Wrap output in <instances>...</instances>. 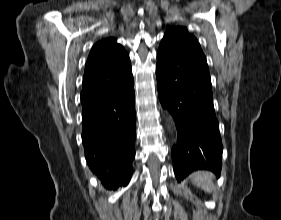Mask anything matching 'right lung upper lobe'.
Listing matches in <instances>:
<instances>
[{
    "mask_svg": "<svg viewBox=\"0 0 281 220\" xmlns=\"http://www.w3.org/2000/svg\"><path fill=\"white\" fill-rule=\"evenodd\" d=\"M132 78L126 50L114 38L102 39L88 56L81 97L117 89Z\"/></svg>",
    "mask_w": 281,
    "mask_h": 220,
    "instance_id": "obj_1",
    "label": "right lung upper lobe"
}]
</instances>
